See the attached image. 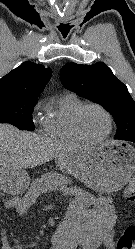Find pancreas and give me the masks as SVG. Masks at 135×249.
I'll return each mask as SVG.
<instances>
[{"label":"pancreas","instance_id":"cf45deb5","mask_svg":"<svg viewBox=\"0 0 135 249\" xmlns=\"http://www.w3.org/2000/svg\"><path fill=\"white\" fill-rule=\"evenodd\" d=\"M64 188H66V187L65 186H61V188L55 187L54 190L62 191ZM68 191H69V193L78 196L79 199H83L86 196L85 195L86 193L80 188L71 187V188H68Z\"/></svg>","mask_w":135,"mask_h":249}]
</instances>
